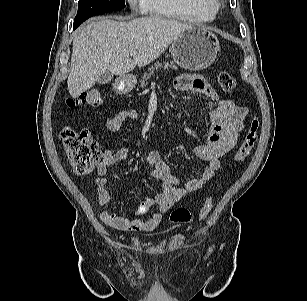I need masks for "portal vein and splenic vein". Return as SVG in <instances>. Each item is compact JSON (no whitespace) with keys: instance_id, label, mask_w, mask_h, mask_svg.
Segmentation results:
<instances>
[{"instance_id":"18ae733b","label":"portal vein and splenic vein","mask_w":307,"mask_h":301,"mask_svg":"<svg viewBox=\"0 0 307 301\" xmlns=\"http://www.w3.org/2000/svg\"><path fill=\"white\" fill-rule=\"evenodd\" d=\"M136 54H137L136 51H132V52L130 53L131 56H135Z\"/></svg>"}]
</instances>
